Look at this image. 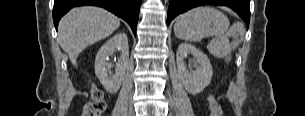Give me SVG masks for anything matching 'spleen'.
<instances>
[{"label":"spleen","instance_id":"spleen-1","mask_svg":"<svg viewBox=\"0 0 305 116\" xmlns=\"http://www.w3.org/2000/svg\"><path fill=\"white\" fill-rule=\"evenodd\" d=\"M229 20L221 11L201 6L177 16L174 33L179 39L200 42L205 37H215L212 43L225 45L224 34L228 30Z\"/></svg>","mask_w":305,"mask_h":116}]
</instances>
